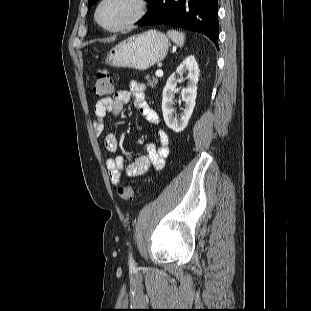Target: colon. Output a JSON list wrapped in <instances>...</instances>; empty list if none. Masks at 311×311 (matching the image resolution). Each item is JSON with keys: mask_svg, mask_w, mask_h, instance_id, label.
<instances>
[{"mask_svg": "<svg viewBox=\"0 0 311 311\" xmlns=\"http://www.w3.org/2000/svg\"><path fill=\"white\" fill-rule=\"evenodd\" d=\"M93 91L97 97H107L113 92V81L106 69H99L96 72ZM118 195L124 201H132L135 197V190L132 186L120 187Z\"/></svg>", "mask_w": 311, "mask_h": 311, "instance_id": "obj_1", "label": "colon"}]
</instances>
